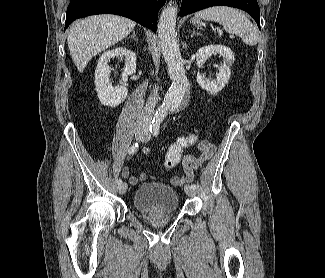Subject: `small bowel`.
I'll return each instance as SVG.
<instances>
[{"instance_id":"obj_1","label":"small bowel","mask_w":325,"mask_h":278,"mask_svg":"<svg viewBox=\"0 0 325 278\" xmlns=\"http://www.w3.org/2000/svg\"><path fill=\"white\" fill-rule=\"evenodd\" d=\"M192 137H190L189 140H191ZM216 151L215 146L205 140H202L198 142L197 144V152H198V161L196 160L195 157L188 156L184 159V164H185V175L182 177L174 176L171 179L172 183L175 184H182L186 181H191L193 178V167H195L199 162H204L210 160L214 153ZM150 152V148L145 147L142 149L143 154H148ZM121 174L123 177L128 178L130 184L136 185L140 181H145L148 179V175L146 173H142L139 177L133 176L130 173V168L129 167H124L121 170Z\"/></svg>"}]
</instances>
